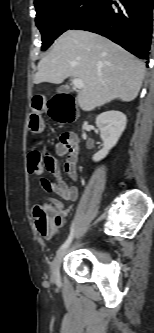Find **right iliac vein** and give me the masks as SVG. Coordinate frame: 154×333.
<instances>
[{
	"instance_id": "right-iliac-vein-1",
	"label": "right iliac vein",
	"mask_w": 154,
	"mask_h": 333,
	"mask_svg": "<svg viewBox=\"0 0 154 333\" xmlns=\"http://www.w3.org/2000/svg\"><path fill=\"white\" fill-rule=\"evenodd\" d=\"M68 248H64L61 249L57 252L55 258L53 259V261L51 262L50 265V270H51V278L53 281H58L59 277H60V265L61 262L65 256V254L67 253Z\"/></svg>"
}]
</instances>
